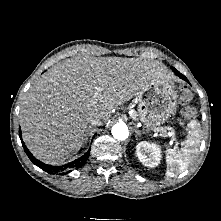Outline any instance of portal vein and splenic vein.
<instances>
[{
  "label": "portal vein and splenic vein",
  "mask_w": 221,
  "mask_h": 221,
  "mask_svg": "<svg viewBox=\"0 0 221 221\" xmlns=\"http://www.w3.org/2000/svg\"><path fill=\"white\" fill-rule=\"evenodd\" d=\"M168 135L171 136V137H174L175 134L173 132H168ZM161 136H166V134H161Z\"/></svg>",
  "instance_id": "18ae733b"
}]
</instances>
